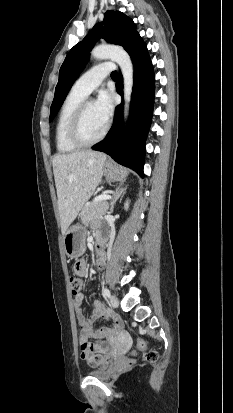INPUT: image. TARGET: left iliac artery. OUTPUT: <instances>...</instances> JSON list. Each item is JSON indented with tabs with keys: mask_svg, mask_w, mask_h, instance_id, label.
<instances>
[{
	"mask_svg": "<svg viewBox=\"0 0 233 413\" xmlns=\"http://www.w3.org/2000/svg\"><path fill=\"white\" fill-rule=\"evenodd\" d=\"M103 293L105 297H109L110 296V291L107 288L103 289Z\"/></svg>",
	"mask_w": 233,
	"mask_h": 413,
	"instance_id": "obj_1",
	"label": "left iliac artery"
}]
</instances>
